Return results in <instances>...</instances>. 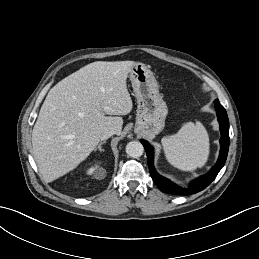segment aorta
Segmentation results:
<instances>
[{
	"instance_id": "762f6f07",
	"label": "aorta",
	"mask_w": 259,
	"mask_h": 259,
	"mask_svg": "<svg viewBox=\"0 0 259 259\" xmlns=\"http://www.w3.org/2000/svg\"><path fill=\"white\" fill-rule=\"evenodd\" d=\"M144 152L143 145L138 141H131L126 145V153L132 158H138L142 156Z\"/></svg>"
}]
</instances>
